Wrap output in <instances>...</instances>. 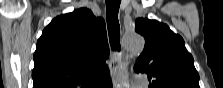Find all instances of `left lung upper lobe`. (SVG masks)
I'll use <instances>...</instances> for the list:
<instances>
[{
    "label": "left lung upper lobe",
    "instance_id": "1",
    "mask_svg": "<svg viewBox=\"0 0 223 88\" xmlns=\"http://www.w3.org/2000/svg\"><path fill=\"white\" fill-rule=\"evenodd\" d=\"M135 31L144 36L145 47L134 71L147 74L153 88H200L194 59L181 36L164 23L143 18L136 20Z\"/></svg>",
    "mask_w": 223,
    "mask_h": 88
}]
</instances>
